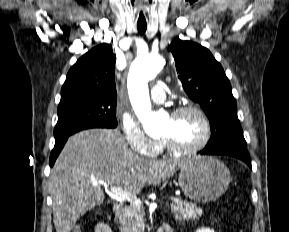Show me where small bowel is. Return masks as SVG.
<instances>
[{"label": "small bowel", "instance_id": "small-bowel-1", "mask_svg": "<svg viewBox=\"0 0 289 232\" xmlns=\"http://www.w3.org/2000/svg\"><path fill=\"white\" fill-rule=\"evenodd\" d=\"M94 232H113V230L105 223H97Z\"/></svg>", "mask_w": 289, "mask_h": 232}]
</instances>
